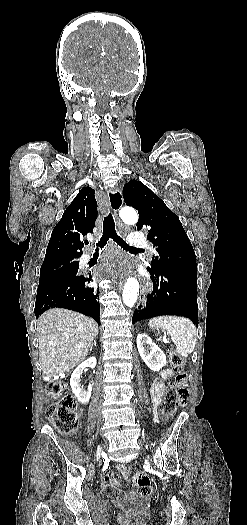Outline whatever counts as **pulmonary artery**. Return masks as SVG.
<instances>
[{"label":"pulmonary artery","mask_w":247,"mask_h":525,"mask_svg":"<svg viewBox=\"0 0 247 525\" xmlns=\"http://www.w3.org/2000/svg\"><path fill=\"white\" fill-rule=\"evenodd\" d=\"M126 240L132 246H146L149 252H155V249H153L151 245H146V236H127ZM89 250L90 248H88V252L82 255L80 261H90L91 255L89 254Z\"/></svg>","instance_id":"1"}]
</instances>
